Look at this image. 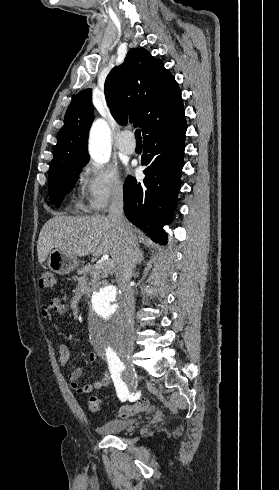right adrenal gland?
<instances>
[{"label":"right adrenal gland","mask_w":279,"mask_h":490,"mask_svg":"<svg viewBox=\"0 0 279 490\" xmlns=\"http://www.w3.org/2000/svg\"><path fill=\"white\" fill-rule=\"evenodd\" d=\"M143 260H144L143 252H141V250H140L139 258H138V264H142Z\"/></svg>","instance_id":"2a0ac1e0"}]
</instances>
